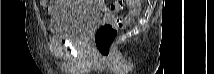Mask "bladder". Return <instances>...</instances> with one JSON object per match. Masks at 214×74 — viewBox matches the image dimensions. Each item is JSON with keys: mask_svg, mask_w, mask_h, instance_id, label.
<instances>
[{"mask_svg": "<svg viewBox=\"0 0 214 74\" xmlns=\"http://www.w3.org/2000/svg\"><path fill=\"white\" fill-rule=\"evenodd\" d=\"M72 5L59 10L50 21L52 34L72 41L84 40L88 30L104 15L92 1H71Z\"/></svg>", "mask_w": 214, "mask_h": 74, "instance_id": "bladder-1", "label": "bladder"}]
</instances>
